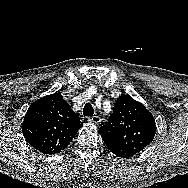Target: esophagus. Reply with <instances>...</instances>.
Wrapping results in <instances>:
<instances>
[{
	"mask_svg": "<svg viewBox=\"0 0 188 188\" xmlns=\"http://www.w3.org/2000/svg\"><path fill=\"white\" fill-rule=\"evenodd\" d=\"M88 121L94 124H100L101 118L99 116H92L88 118Z\"/></svg>",
	"mask_w": 188,
	"mask_h": 188,
	"instance_id": "1",
	"label": "esophagus"
}]
</instances>
